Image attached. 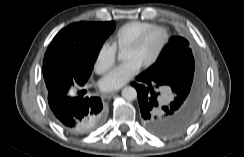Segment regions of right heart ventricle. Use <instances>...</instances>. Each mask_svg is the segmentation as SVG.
Here are the masks:
<instances>
[{"label": "right heart ventricle", "mask_w": 244, "mask_h": 157, "mask_svg": "<svg viewBox=\"0 0 244 157\" xmlns=\"http://www.w3.org/2000/svg\"><path fill=\"white\" fill-rule=\"evenodd\" d=\"M154 26L155 24L146 21L133 20L126 22L115 31L113 44L116 49L124 50L142 32Z\"/></svg>", "instance_id": "1"}]
</instances>
